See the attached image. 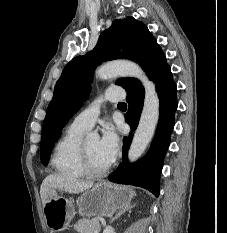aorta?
Listing matches in <instances>:
<instances>
[{
	"mask_svg": "<svg viewBox=\"0 0 227 233\" xmlns=\"http://www.w3.org/2000/svg\"><path fill=\"white\" fill-rule=\"evenodd\" d=\"M98 78L102 80L118 76L134 77L141 81L145 89L144 106L141 113L139 125L134 134L128 151L130 162H135L146 150L151 142L159 120L160 101L155 85L145 75L144 71L136 63L130 61H113L106 63L96 71ZM97 137L96 132H90L87 138Z\"/></svg>",
	"mask_w": 227,
	"mask_h": 233,
	"instance_id": "aorta-1",
	"label": "aorta"
}]
</instances>
